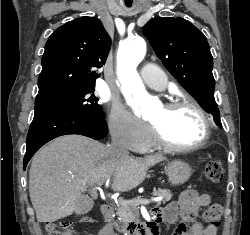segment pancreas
Returning <instances> with one entry per match:
<instances>
[{"mask_svg":"<svg viewBox=\"0 0 250 235\" xmlns=\"http://www.w3.org/2000/svg\"><path fill=\"white\" fill-rule=\"evenodd\" d=\"M154 196H161L162 200L157 203L160 205L161 203L165 204L166 202L170 201L172 198V193L168 189H158L153 190ZM141 200L140 197H137L132 200L131 203H122L120 202L121 209L118 211V215L120 216L122 222L130 223L139 221V201Z\"/></svg>","mask_w":250,"mask_h":235,"instance_id":"cf45deb5","label":"pancreas"}]
</instances>
